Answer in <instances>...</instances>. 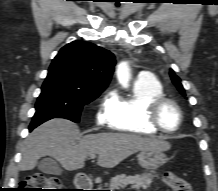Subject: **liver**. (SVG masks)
<instances>
[{
    "label": "liver",
    "instance_id": "6515ba94",
    "mask_svg": "<svg viewBox=\"0 0 218 191\" xmlns=\"http://www.w3.org/2000/svg\"><path fill=\"white\" fill-rule=\"evenodd\" d=\"M80 137L78 126L56 118L37 127L26 139L19 169L32 170L43 156L58 160L66 170L81 169L90 155L98 154V165L113 168L130 155L142 150L167 151L168 142L134 134L103 132Z\"/></svg>",
    "mask_w": 218,
    "mask_h": 191
}]
</instances>
